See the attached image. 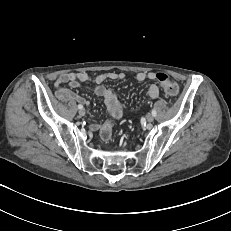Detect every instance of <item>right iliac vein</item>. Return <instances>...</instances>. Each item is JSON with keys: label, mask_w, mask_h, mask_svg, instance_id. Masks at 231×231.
I'll list each match as a JSON object with an SVG mask.
<instances>
[{"label": "right iliac vein", "mask_w": 231, "mask_h": 231, "mask_svg": "<svg viewBox=\"0 0 231 231\" xmlns=\"http://www.w3.org/2000/svg\"><path fill=\"white\" fill-rule=\"evenodd\" d=\"M85 113H86V112H85V109L82 108V109L79 110V115H80V116H84Z\"/></svg>", "instance_id": "1"}]
</instances>
